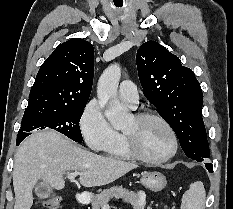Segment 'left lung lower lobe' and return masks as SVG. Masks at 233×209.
Instances as JSON below:
<instances>
[{
  "label": "left lung lower lobe",
  "mask_w": 233,
  "mask_h": 209,
  "mask_svg": "<svg viewBox=\"0 0 233 209\" xmlns=\"http://www.w3.org/2000/svg\"><path fill=\"white\" fill-rule=\"evenodd\" d=\"M205 166H206V168L208 169L209 172H213L212 164L206 163Z\"/></svg>",
  "instance_id": "0a47b994"
}]
</instances>
